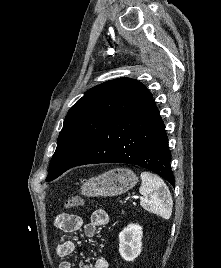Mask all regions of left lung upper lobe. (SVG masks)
Instances as JSON below:
<instances>
[{"mask_svg": "<svg viewBox=\"0 0 221 268\" xmlns=\"http://www.w3.org/2000/svg\"><path fill=\"white\" fill-rule=\"evenodd\" d=\"M150 99L149 90L130 78L110 80L88 90L64 120L46 181L68 170L112 122Z\"/></svg>", "mask_w": 221, "mask_h": 268, "instance_id": "5c2ea615", "label": "left lung upper lobe"}]
</instances>
